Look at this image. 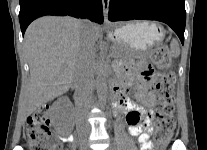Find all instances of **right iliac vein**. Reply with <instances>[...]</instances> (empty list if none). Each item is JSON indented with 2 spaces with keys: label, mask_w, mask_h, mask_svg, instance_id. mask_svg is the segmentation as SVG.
I'll return each instance as SVG.
<instances>
[{
  "label": "right iliac vein",
  "mask_w": 207,
  "mask_h": 150,
  "mask_svg": "<svg viewBox=\"0 0 207 150\" xmlns=\"http://www.w3.org/2000/svg\"><path fill=\"white\" fill-rule=\"evenodd\" d=\"M80 150H88L85 144H82Z\"/></svg>",
  "instance_id": "1"
}]
</instances>
